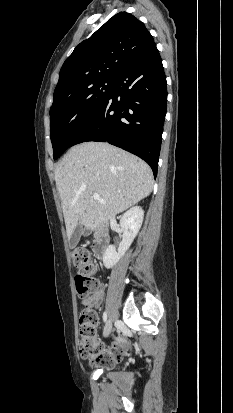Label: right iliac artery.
<instances>
[{"label":"right iliac artery","instance_id":"right-iliac-artery-1","mask_svg":"<svg viewBox=\"0 0 233 413\" xmlns=\"http://www.w3.org/2000/svg\"><path fill=\"white\" fill-rule=\"evenodd\" d=\"M103 321H104V322L107 321V313H106V312L103 313Z\"/></svg>","mask_w":233,"mask_h":413}]
</instances>
